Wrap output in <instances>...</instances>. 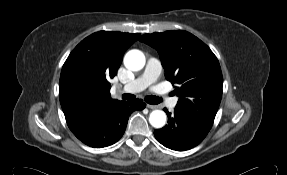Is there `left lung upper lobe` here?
<instances>
[{
  "instance_id": "left-lung-upper-lobe-1",
  "label": "left lung upper lobe",
  "mask_w": 287,
  "mask_h": 175,
  "mask_svg": "<svg viewBox=\"0 0 287 175\" xmlns=\"http://www.w3.org/2000/svg\"><path fill=\"white\" fill-rule=\"evenodd\" d=\"M155 48L165 77L178 84L175 110L185 114L205 131H210L222 97L223 77L218 59L193 34L177 30L144 34L140 38Z\"/></svg>"
}]
</instances>
